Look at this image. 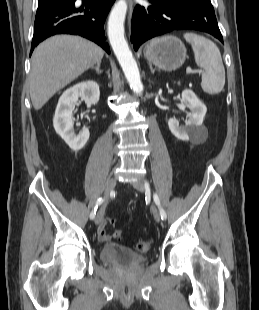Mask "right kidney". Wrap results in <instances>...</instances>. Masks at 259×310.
<instances>
[{
	"mask_svg": "<svg viewBox=\"0 0 259 310\" xmlns=\"http://www.w3.org/2000/svg\"><path fill=\"white\" fill-rule=\"evenodd\" d=\"M79 97L87 104H97L100 97L99 86L95 81L81 82L67 89L60 97L53 120L55 131L74 151L81 150L89 139V130L84 127L79 134L73 130V109Z\"/></svg>",
	"mask_w": 259,
	"mask_h": 310,
	"instance_id": "ca27d5eb",
	"label": "right kidney"
}]
</instances>
